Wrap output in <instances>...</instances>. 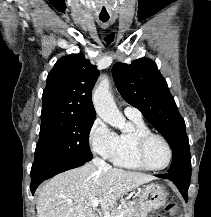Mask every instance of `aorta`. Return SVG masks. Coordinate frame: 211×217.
Segmentation results:
<instances>
[{"label":"aorta","mask_w":211,"mask_h":217,"mask_svg":"<svg viewBox=\"0 0 211 217\" xmlns=\"http://www.w3.org/2000/svg\"><path fill=\"white\" fill-rule=\"evenodd\" d=\"M93 104L97 115L106 123L125 131L128 129L126 119L118 110L110 92L109 80L103 76L93 93Z\"/></svg>","instance_id":"aorta-1"}]
</instances>
